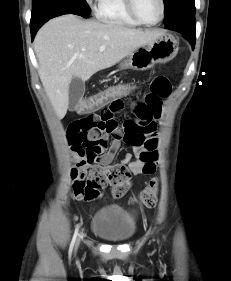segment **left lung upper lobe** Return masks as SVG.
<instances>
[{"mask_svg": "<svg viewBox=\"0 0 231 281\" xmlns=\"http://www.w3.org/2000/svg\"><path fill=\"white\" fill-rule=\"evenodd\" d=\"M165 7L164 23L187 13H195L194 0H163Z\"/></svg>", "mask_w": 231, "mask_h": 281, "instance_id": "obj_1", "label": "left lung upper lobe"}]
</instances>
